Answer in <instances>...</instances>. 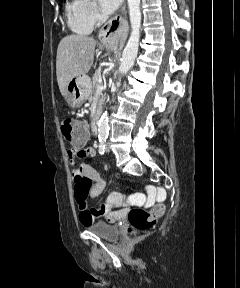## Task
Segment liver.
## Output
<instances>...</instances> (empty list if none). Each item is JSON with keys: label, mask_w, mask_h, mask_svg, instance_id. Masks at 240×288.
Instances as JSON below:
<instances>
[{"label": "liver", "mask_w": 240, "mask_h": 288, "mask_svg": "<svg viewBox=\"0 0 240 288\" xmlns=\"http://www.w3.org/2000/svg\"><path fill=\"white\" fill-rule=\"evenodd\" d=\"M96 41L84 35H68L64 37L57 48L56 73L57 82L62 95L68 83L90 70Z\"/></svg>", "instance_id": "obj_1"}]
</instances>
